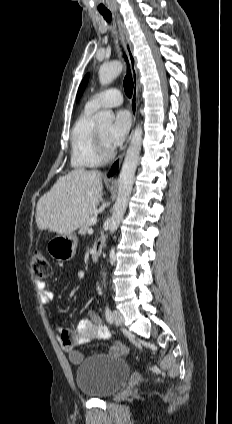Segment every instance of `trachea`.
I'll list each match as a JSON object with an SVG mask.
<instances>
[{"label": "trachea", "instance_id": "obj_1", "mask_svg": "<svg viewBox=\"0 0 232 424\" xmlns=\"http://www.w3.org/2000/svg\"><path fill=\"white\" fill-rule=\"evenodd\" d=\"M103 15V17L105 18V20L107 22L111 21V13L110 12H102L101 13ZM126 61L128 63V60L126 58ZM133 87H134V83H133V79H132V75H131V71L129 68V64H128V70H127V75L124 78V89H125V93L126 95L130 98L133 94Z\"/></svg>", "mask_w": 232, "mask_h": 424}]
</instances>
